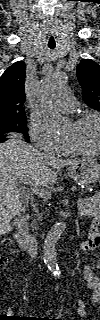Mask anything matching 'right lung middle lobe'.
Here are the masks:
<instances>
[{"mask_svg":"<svg viewBox=\"0 0 100 320\" xmlns=\"http://www.w3.org/2000/svg\"><path fill=\"white\" fill-rule=\"evenodd\" d=\"M9 132H17L25 135L27 141H29L28 128L26 127V116L13 117L0 120V135L1 141H5V134Z\"/></svg>","mask_w":100,"mask_h":320,"instance_id":"1","label":"right lung middle lobe"}]
</instances>
